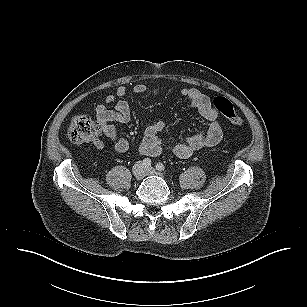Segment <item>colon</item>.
<instances>
[{"label": "colon", "mask_w": 307, "mask_h": 307, "mask_svg": "<svg viewBox=\"0 0 307 307\" xmlns=\"http://www.w3.org/2000/svg\"><path fill=\"white\" fill-rule=\"evenodd\" d=\"M214 108L221 113L232 125L242 126L243 120L235 112L233 105L224 97L213 99ZM100 134L99 124L91 117L83 114L75 115L69 125L68 137L74 143L94 142Z\"/></svg>", "instance_id": "colon-1"}]
</instances>
